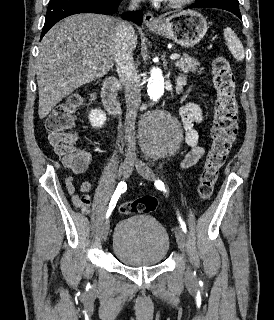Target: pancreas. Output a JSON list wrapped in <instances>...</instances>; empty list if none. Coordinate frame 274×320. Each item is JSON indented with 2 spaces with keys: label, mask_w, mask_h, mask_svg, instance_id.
<instances>
[{
  "label": "pancreas",
  "mask_w": 274,
  "mask_h": 320,
  "mask_svg": "<svg viewBox=\"0 0 274 320\" xmlns=\"http://www.w3.org/2000/svg\"><path fill=\"white\" fill-rule=\"evenodd\" d=\"M175 66L179 68L180 72H202L204 68H199L200 62L195 60V58H191V56H183V58H179L178 62H176Z\"/></svg>",
  "instance_id": "pancreas-1"
}]
</instances>
